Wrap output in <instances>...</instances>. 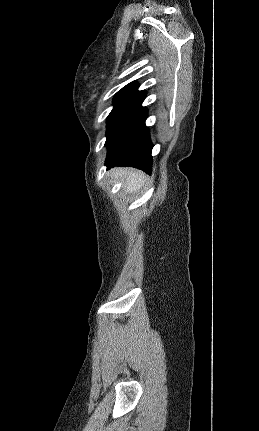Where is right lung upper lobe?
<instances>
[{"instance_id":"1","label":"right lung upper lobe","mask_w":259,"mask_h":431,"mask_svg":"<svg viewBox=\"0 0 259 431\" xmlns=\"http://www.w3.org/2000/svg\"><path fill=\"white\" fill-rule=\"evenodd\" d=\"M128 88H130V89H132L133 91H132V95L135 93V92H138L137 91V88H138V85L135 83V82H131V83H129L128 85H126L124 88H122L119 92H121V91H123V90H126V89H128ZM118 92V93H119Z\"/></svg>"}]
</instances>
